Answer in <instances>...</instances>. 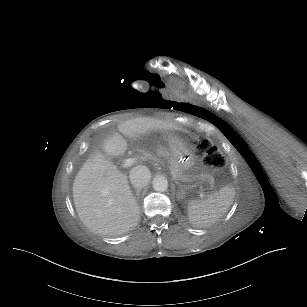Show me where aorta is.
<instances>
[{"label": "aorta", "instance_id": "aorta-1", "mask_svg": "<svg viewBox=\"0 0 307 307\" xmlns=\"http://www.w3.org/2000/svg\"><path fill=\"white\" fill-rule=\"evenodd\" d=\"M153 189L157 192H164L168 188V180L164 176H156L152 181Z\"/></svg>", "mask_w": 307, "mask_h": 307}]
</instances>
